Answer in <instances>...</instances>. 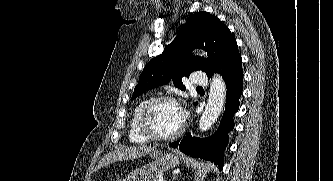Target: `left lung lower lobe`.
Listing matches in <instances>:
<instances>
[{
    "instance_id": "0a47b994",
    "label": "left lung lower lobe",
    "mask_w": 333,
    "mask_h": 181,
    "mask_svg": "<svg viewBox=\"0 0 333 181\" xmlns=\"http://www.w3.org/2000/svg\"><path fill=\"white\" fill-rule=\"evenodd\" d=\"M214 72L220 73L227 85L225 112L217 131L205 139L192 137L189 133L181 141L170 143L169 146L179 147L180 151L192 157L215 162L222 169L224 148L228 143L227 131L234 127L233 115L238 110L243 88L242 59L237 46L208 77Z\"/></svg>"
}]
</instances>
